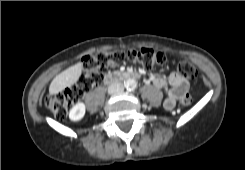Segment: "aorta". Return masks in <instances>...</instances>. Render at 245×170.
Instances as JSON below:
<instances>
[{
	"label": "aorta",
	"instance_id": "1",
	"mask_svg": "<svg viewBox=\"0 0 245 170\" xmlns=\"http://www.w3.org/2000/svg\"><path fill=\"white\" fill-rule=\"evenodd\" d=\"M126 87L133 90L137 87V82L135 80H128L126 82Z\"/></svg>",
	"mask_w": 245,
	"mask_h": 170
}]
</instances>
